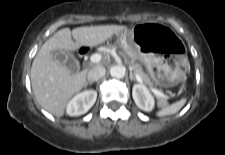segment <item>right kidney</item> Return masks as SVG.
<instances>
[{"label": "right kidney", "mask_w": 225, "mask_h": 155, "mask_svg": "<svg viewBox=\"0 0 225 155\" xmlns=\"http://www.w3.org/2000/svg\"><path fill=\"white\" fill-rule=\"evenodd\" d=\"M97 92L86 90L77 94L67 105V114L70 116H80L85 114L94 104Z\"/></svg>", "instance_id": "obj_1"}]
</instances>
